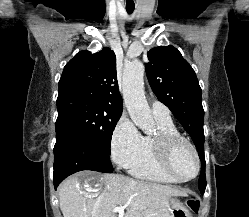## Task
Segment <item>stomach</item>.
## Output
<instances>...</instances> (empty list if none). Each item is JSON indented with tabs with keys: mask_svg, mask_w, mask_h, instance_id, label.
Here are the masks:
<instances>
[{
	"mask_svg": "<svg viewBox=\"0 0 249 217\" xmlns=\"http://www.w3.org/2000/svg\"><path fill=\"white\" fill-rule=\"evenodd\" d=\"M179 206H180V204H179L177 199H174V198L169 199L168 209L171 213L170 217H175V214L179 212V210H178Z\"/></svg>",
	"mask_w": 249,
	"mask_h": 217,
	"instance_id": "1",
	"label": "stomach"
}]
</instances>
